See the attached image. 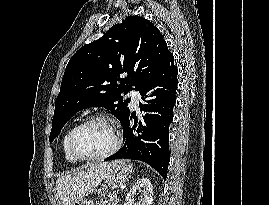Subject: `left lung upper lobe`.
I'll use <instances>...</instances> for the list:
<instances>
[{"instance_id": "1", "label": "left lung upper lobe", "mask_w": 269, "mask_h": 205, "mask_svg": "<svg viewBox=\"0 0 269 205\" xmlns=\"http://www.w3.org/2000/svg\"><path fill=\"white\" fill-rule=\"evenodd\" d=\"M169 54L160 31L139 16L127 17L98 40L80 48L64 72L50 142L72 115L85 108L104 107L122 123L129 112L130 99L123 100L121 94L133 87L137 91L143 88Z\"/></svg>"}]
</instances>
